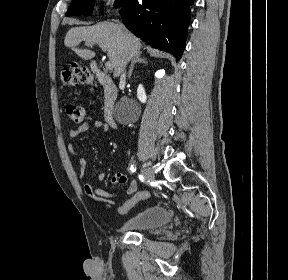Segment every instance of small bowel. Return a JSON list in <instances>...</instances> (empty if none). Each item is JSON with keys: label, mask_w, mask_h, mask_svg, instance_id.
I'll return each mask as SVG.
<instances>
[{"label": "small bowel", "mask_w": 288, "mask_h": 280, "mask_svg": "<svg viewBox=\"0 0 288 280\" xmlns=\"http://www.w3.org/2000/svg\"><path fill=\"white\" fill-rule=\"evenodd\" d=\"M90 127H93L95 129H99L102 131L108 130V126L105 123H103L102 121L92 116H88L86 117L84 122L79 127L71 128L69 130V136L71 138H76L80 134L86 132ZM69 151L71 154L79 156V164H80L79 176H80V179L83 181V191L85 195L96 203L105 204V205H113L116 199L119 197L120 191L109 192L107 190H104L102 188L96 187L93 184H91L86 179L87 157L84 155H79L73 144L69 145ZM105 178H106L105 173L101 172L97 175L95 182L96 183L103 182ZM110 183H111V186H121V187L127 186L126 192H127V195L129 196V199L133 198L137 193H139L137 182L135 180L129 181L128 178L122 173H115L111 177ZM129 199H127L126 201H128ZM131 208H129L123 214L127 213Z\"/></svg>", "instance_id": "1"}]
</instances>
